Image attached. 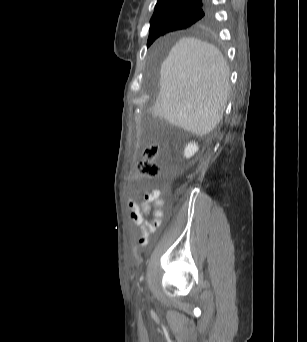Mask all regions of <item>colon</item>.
<instances>
[{
	"mask_svg": "<svg viewBox=\"0 0 307 342\" xmlns=\"http://www.w3.org/2000/svg\"><path fill=\"white\" fill-rule=\"evenodd\" d=\"M160 154V146L156 143L148 144L142 153L137 166V175L144 179H152L159 175L160 165L156 158Z\"/></svg>",
	"mask_w": 307,
	"mask_h": 342,
	"instance_id": "colon-1",
	"label": "colon"
}]
</instances>
